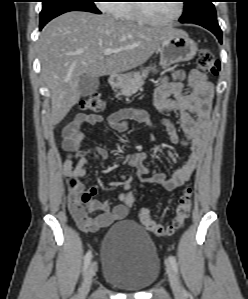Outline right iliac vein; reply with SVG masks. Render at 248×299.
Masks as SVG:
<instances>
[{
	"mask_svg": "<svg viewBox=\"0 0 248 299\" xmlns=\"http://www.w3.org/2000/svg\"><path fill=\"white\" fill-rule=\"evenodd\" d=\"M95 271H96V264H95V262H92L89 265V267L85 273V276H84V281H83V284L81 287V292H80L81 299H84L86 297V295L88 294V292L91 288V285H92V280H93Z\"/></svg>",
	"mask_w": 248,
	"mask_h": 299,
	"instance_id": "63e3f726",
	"label": "right iliac vein"
}]
</instances>
